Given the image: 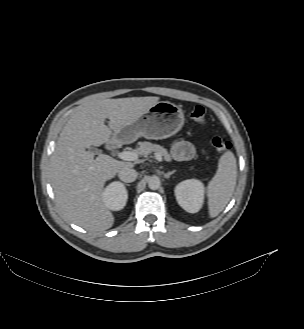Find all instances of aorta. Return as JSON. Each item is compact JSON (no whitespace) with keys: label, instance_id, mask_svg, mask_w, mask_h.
<instances>
[{"label":"aorta","instance_id":"obj_1","mask_svg":"<svg viewBox=\"0 0 304 329\" xmlns=\"http://www.w3.org/2000/svg\"><path fill=\"white\" fill-rule=\"evenodd\" d=\"M161 185L160 179L157 176H152L148 180V186L151 190H157Z\"/></svg>","mask_w":304,"mask_h":329}]
</instances>
